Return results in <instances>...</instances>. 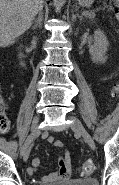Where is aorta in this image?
Returning <instances> with one entry per match:
<instances>
[{
  "instance_id": "762f6f07",
  "label": "aorta",
  "mask_w": 119,
  "mask_h": 185,
  "mask_svg": "<svg viewBox=\"0 0 119 185\" xmlns=\"http://www.w3.org/2000/svg\"><path fill=\"white\" fill-rule=\"evenodd\" d=\"M65 2L66 0H53V5L56 10H59L65 4Z\"/></svg>"
}]
</instances>
